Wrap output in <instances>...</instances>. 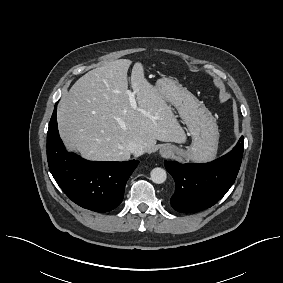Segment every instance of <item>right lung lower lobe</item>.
Masks as SVG:
<instances>
[{
	"mask_svg": "<svg viewBox=\"0 0 283 283\" xmlns=\"http://www.w3.org/2000/svg\"><path fill=\"white\" fill-rule=\"evenodd\" d=\"M57 103L47 133L51 174L64 193L79 206L97 212L113 210L122 202L126 182L139 161L91 162L68 153L58 133Z\"/></svg>",
	"mask_w": 283,
	"mask_h": 283,
	"instance_id": "obj_1",
	"label": "right lung lower lobe"
}]
</instances>
